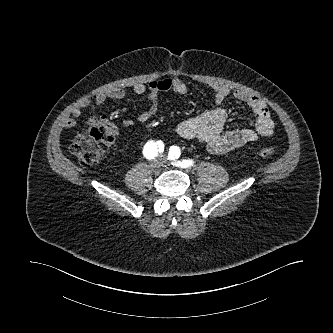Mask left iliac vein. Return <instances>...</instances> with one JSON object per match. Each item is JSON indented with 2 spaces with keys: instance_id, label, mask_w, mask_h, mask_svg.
Masks as SVG:
<instances>
[{
  "instance_id": "1",
  "label": "left iliac vein",
  "mask_w": 333,
  "mask_h": 333,
  "mask_svg": "<svg viewBox=\"0 0 333 333\" xmlns=\"http://www.w3.org/2000/svg\"><path fill=\"white\" fill-rule=\"evenodd\" d=\"M162 162L164 166H168L169 164L167 163V161L165 160V155H162Z\"/></svg>"
}]
</instances>
